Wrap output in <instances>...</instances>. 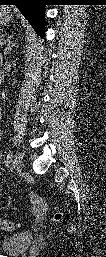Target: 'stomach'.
Masks as SVG:
<instances>
[{"label":"stomach","instance_id":"1","mask_svg":"<svg viewBox=\"0 0 106 257\" xmlns=\"http://www.w3.org/2000/svg\"><path fill=\"white\" fill-rule=\"evenodd\" d=\"M13 15L11 12V9L9 7H1L0 12V23L1 24H7L11 19Z\"/></svg>","mask_w":106,"mask_h":257}]
</instances>
